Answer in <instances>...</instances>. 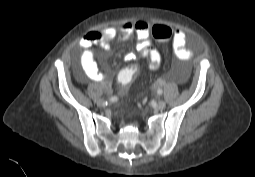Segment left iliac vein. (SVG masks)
<instances>
[{"label": "left iliac vein", "instance_id": "1", "mask_svg": "<svg viewBox=\"0 0 255 177\" xmlns=\"http://www.w3.org/2000/svg\"><path fill=\"white\" fill-rule=\"evenodd\" d=\"M165 106H166V102H165L164 100L161 99V100H158V101H157L156 108H157L158 110L164 109Z\"/></svg>", "mask_w": 255, "mask_h": 177}]
</instances>
